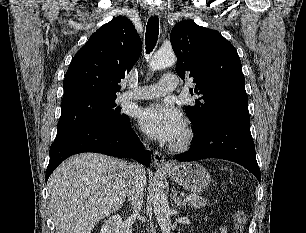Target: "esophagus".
Returning <instances> with one entry per match:
<instances>
[{
	"label": "esophagus",
	"instance_id": "obj_1",
	"mask_svg": "<svg viewBox=\"0 0 306 233\" xmlns=\"http://www.w3.org/2000/svg\"><path fill=\"white\" fill-rule=\"evenodd\" d=\"M149 14L150 16H158L160 14L159 8L156 6H150ZM153 159H154L155 165L159 168L170 167V164L165 161L164 156L158 151H155L153 153Z\"/></svg>",
	"mask_w": 306,
	"mask_h": 233
}]
</instances>
